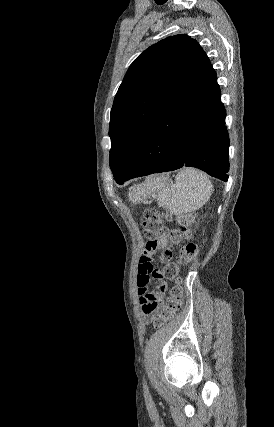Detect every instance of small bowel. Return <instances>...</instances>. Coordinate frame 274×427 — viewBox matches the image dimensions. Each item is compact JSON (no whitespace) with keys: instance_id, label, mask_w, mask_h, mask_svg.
<instances>
[{"instance_id":"obj_1","label":"small bowel","mask_w":274,"mask_h":427,"mask_svg":"<svg viewBox=\"0 0 274 427\" xmlns=\"http://www.w3.org/2000/svg\"><path fill=\"white\" fill-rule=\"evenodd\" d=\"M160 246L153 244H145L141 247L142 253L140 255V261L138 266L137 275V294L139 298V304L141 314L144 321L153 322V315L155 314L153 308L155 305H160L162 296L157 292H151L149 290V284H159V290L161 293L166 292L167 288L163 284L164 278L167 282L171 281V278L178 276L176 263L174 261H166L164 264L165 269H158L157 266H152L151 253L159 255ZM168 257L174 254V251H165ZM154 271V275L150 277V273Z\"/></svg>"}]
</instances>
